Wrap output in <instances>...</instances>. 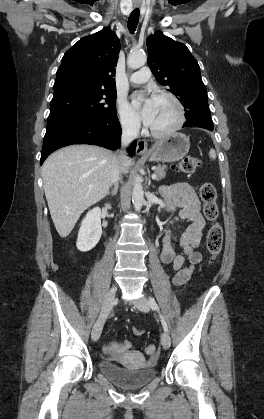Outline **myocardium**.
Wrapping results in <instances>:
<instances>
[{"instance_id":"myocardium-1","label":"myocardium","mask_w":264,"mask_h":419,"mask_svg":"<svg viewBox=\"0 0 264 419\" xmlns=\"http://www.w3.org/2000/svg\"><path fill=\"white\" fill-rule=\"evenodd\" d=\"M156 98H165L170 100L176 108V120L174 124L166 130L157 131L150 128V134L155 138H165L178 131L185 121V110L181 101L171 92L160 91L156 94Z\"/></svg>"}]
</instances>
